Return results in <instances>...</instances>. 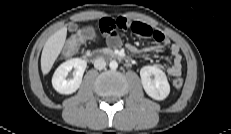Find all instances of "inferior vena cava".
Here are the masks:
<instances>
[{"instance_id":"inferior-vena-cava-1","label":"inferior vena cava","mask_w":231,"mask_h":134,"mask_svg":"<svg viewBox=\"0 0 231 134\" xmlns=\"http://www.w3.org/2000/svg\"><path fill=\"white\" fill-rule=\"evenodd\" d=\"M105 66H106V62H105V60L102 57H99V58L95 59V61H94V67L96 69L101 70V69L105 68Z\"/></svg>"}]
</instances>
